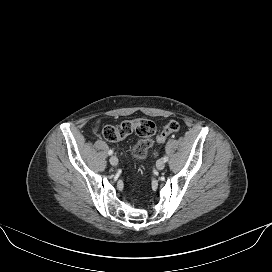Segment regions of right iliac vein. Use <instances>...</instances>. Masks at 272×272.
<instances>
[{"mask_svg": "<svg viewBox=\"0 0 272 272\" xmlns=\"http://www.w3.org/2000/svg\"><path fill=\"white\" fill-rule=\"evenodd\" d=\"M109 161L112 166L118 165V158L116 156H112Z\"/></svg>", "mask_w": 272, "mask_h": 272, "instance_id": "63e3f726", "label": "right iliac vein"}]
</instances>
